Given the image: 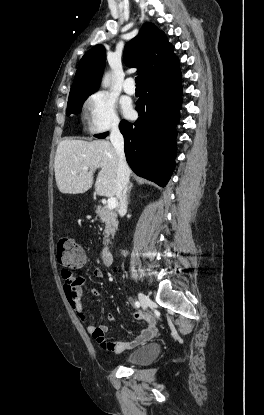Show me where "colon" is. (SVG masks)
I'll return each mask as SVG.
<instances>
[{"label": "colon", "instance_id": "1", "mask_svg": "<svg viewBox=\"0 0 264 415\" xmlns=\"http://www.w3.org/2000/svg\"><path fill=\"white\" fill-rule=\"evenodd\" d=\"M87 257L81 246L70 238H61L58 243L57 261L70 271V269L86 263Z\"/></svg>", "mask_w": 264, "mask_h": 415}]
</instances>
